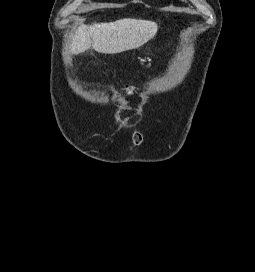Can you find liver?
<instances>
[{
    "label": "liver",
    "instance_id": "6515ba94",
    "mask_svg": "<svg viewBox=\"0 0 255 272\" xmlns=\"http://www.w3.org/2000/svg\"><path fill=\"white\" fill-rule=\"evenodd\" d=\"M157 30L158 25L153 21L130 18L82 25L76 31L70 49L76 55L90 47L104 54L121 53L144 45Z\"/></svg>",
    "mask_w": 255,
    "mask_h": 272
}]
</instances>
